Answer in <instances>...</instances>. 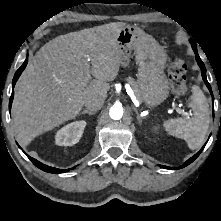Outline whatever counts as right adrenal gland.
<instances>
[{"instance_id": "1", "label": "right adrenal gland", "mask_w": 221, "mask_h": 221, "mask_svg": "<svg viewBox=\"0 0 221 221\" xmlns=\"http://www.w3.org/2000/svg\"><path fill=\"white\" fill-rule=\"evenodd\" d=\"M82 114L94 115L95 112L85 109L82 112H80V115H82Z\"/></svg>"}]
</instances>
